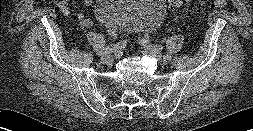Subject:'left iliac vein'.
I'll return each instance as SVG.
<instances>
[{
  "label": "left iliac vein",
  "mask_w": 253,
  "mask_h": 131,
  "mask_svg": "<svg viewBox=\"0 0 253 131\" xmlns=\"http://www.w3.org/2000/svg\"><path fill=\"white\" fill-rule=\"evenodd\" d=\"M140 44L143 46V53L155 58L158 61H170L171 60V56L170 55H165L163 56L160 51H158L157 49H155L154 47L147 45L146 42L141 39L139 40Z\"/></svg>",
  "instance_id": "obj_1"
}]
</instances>
